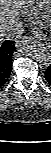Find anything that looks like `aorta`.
I'll use <instances>...</instances> for the list:
<instances>
[{"label": "aorta", "mask_w": 51, "mask_h": 153, "mask_svg": "<svg viewBox=\"0 0 51 153\" xmlns=\"http://www.w3.org/2000/svg\"><path fill=\"white\" fill-rule=\"evenodd\" d=\"M16 48L20 53L31 56L43 63L47 62V51L45 47L30 37L18 40Z\"/></svg>", "instance_id": "762f6f07"}]
</instances>
